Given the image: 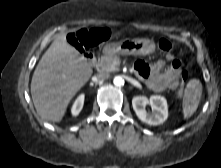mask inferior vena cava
Segmentation results:
<instances>
[{"label": "inferior vena cava", "instance_id": "obj_1", "mask_svg": "<svg viewBox=\"0 0 221 168\" xmlns=\"http://www.w3.org/2000/svg\"><path fill=\"white\" fill-rule=\"evenodd\" d=\"M108 77V73L99 72L94 76L95 81H103Z\"/></svg>", "mask_w": 221, "mask_h": 168}]
</instances>
